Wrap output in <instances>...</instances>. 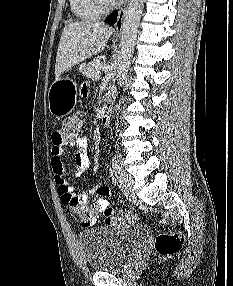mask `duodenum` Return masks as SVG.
I'll use <instances>...</instances> for the list:
<instances>
[{
  "label": "duodenum",
  "mask_w": 233,
  "mask_h": 286,
  "mask_svg": "<svg viewBox=\"0 0 233 286\" xmlns=\"http://www.w3.org/2000/svg\"><path fill=\"white\" fill-rule=\"evenodd\" d=\"M110 106L106 105L102 108L101 110V121L103 124H107L109 122V118H110Z\"/></svg>",
  "instance_id": "1"
}]
</instances>
